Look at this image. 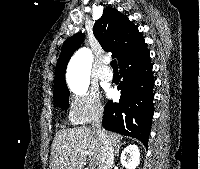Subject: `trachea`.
I'll use <instances>...</instances> for the list:
<instances>
[{"mask_svg":"<svg viewBox=\"0 0 200 169\" xmlns=\"http://www.w3.org/2000/svg\"><path fill=\"white\" fill-rule=\"evenodd\" d=\"M110 65H111V67L113 68L114 71L118 70L117 61L116 60H112Z\"/></svg>","mask_w":200,"mask_h":169,"instance_id":"1","label":"trachea"}]
</instances>
